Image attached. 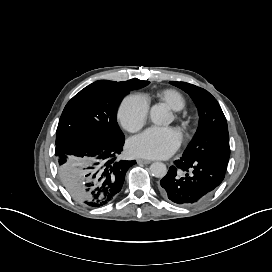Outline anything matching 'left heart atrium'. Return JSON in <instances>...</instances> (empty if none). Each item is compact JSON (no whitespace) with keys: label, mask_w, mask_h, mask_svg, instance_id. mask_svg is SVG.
<instances>
[{"label":"left heart atrium","mask_w":272,"mask_h":272,"mask_svg":"<svg viewBox=\"0 0 272 272\" xmlns=\"http://www.w3.org/2000/svg\"><path fill=\"white\" fill-rule=\"evenodd\" d=\"M179 136L168 128L151 127L129 144L134 155L166 158L179 146Z\"/></svg>","instance_id":"39dd6f15"}]
</instances>
